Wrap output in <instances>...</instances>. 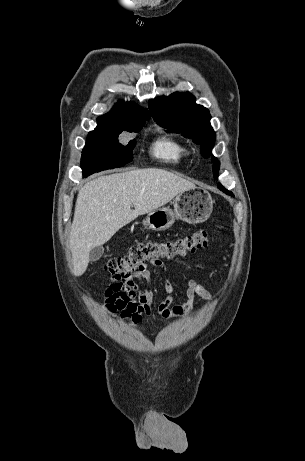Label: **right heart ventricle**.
I'll return each instance as SVG.
<instances>
[{"mask_svg": "<svg viewBox=\"0 0 305 461\" xmlns=\"http://www.w3.org/2000/svg\"><path fill=\"white\" fill-rule=\"evenodd\" d=\"M154 156L172 163H179L190 155L183 143L169 136L159 137L151 147Z\"/></svg>", "mask_w": 305, "mask_h": 461, "instance_id": "e07e8e85", "label": "right heart ventricle"}]
</instances>
